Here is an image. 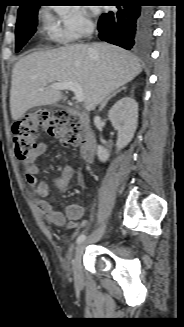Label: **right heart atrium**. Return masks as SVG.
Masks as SVG:
<instances>
[{
	"instance_id": "obj_1",
	"label": "right heart atrium",
	"mask_w": 184,
	"mask_h": 327,
	"mask_svg": "<svg viewBox=\"0 0 184 327\" xmlns=\"http://www.w3.org/2000/svg\"><path fill=\"white\" fill-rule=\"evenodd\" d=\"M46 27L54 41L71 44L87 37L94 25L82 7L69 5L58 8L56 15L47 16Z\"/></svg>"
}]
</instances>
